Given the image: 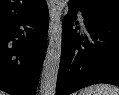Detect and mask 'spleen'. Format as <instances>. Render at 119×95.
Masks as SVG:
<instances>
[{"label":"spleen","mask_w":119,"mask_h":95,"mask_svg":"<svg viewBox=\"0 0 119 95\" xmlns=\"http://www.w3.org/2000/svg\"><path fill=\"white\" fill-rule=\"evenodd\" d=\"M79 95H119V88L110 84H95L81 90Z\"/></svg>","instance_id":"3e777b00"}]
</instances>
